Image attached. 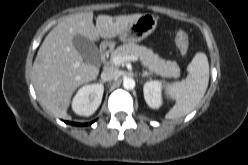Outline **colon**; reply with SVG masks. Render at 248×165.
<instances>
[{
  "label": "colon",
  "instance_id": "colon-1",
  "mask_svg": "<svg viewBox=\"0 0 248 165\" xmlns=\"http://www.w3.org/2000/svg\"><path fill=\"white\" fill-rule=\"evenodd\" d=\"M175 43L181 54H186L189 50L190 42L186 32L179 30L175 35Z\"/></svg>",
  "mask_w": 248,
  "mask_h": 165
}]
</instances>
